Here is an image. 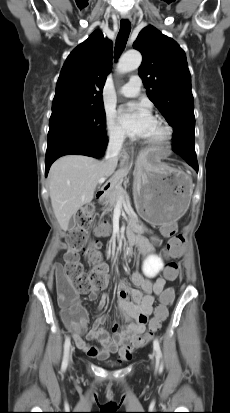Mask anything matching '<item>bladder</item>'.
Wrapping results in <instances>:
<instances>
[{"label": "bladder", "mask_w": 230, "mask_h": 413, "mask_svg": "<svg viewBox=\"0 0 230 413\" xmlns=\"http://www.w3.org/2000/svg\"><path fill=\"white\" fill-rule=\"evenodd\" d=\"M105 364L110 365V366L113 365V364H112L111 362H109V361H108V362H105Z\"/></svg>", "instance_id": "31cf9c89"}]
</instances>
